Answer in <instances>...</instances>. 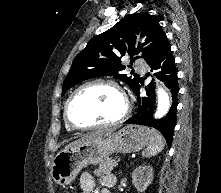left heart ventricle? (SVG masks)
<instances>
[{"mask_svg":"<svg viewBox=\"0 0 221 193\" xmlns=\"http://www.w3.org/2000/svg\"><path fill=\"white\" fill-rule=\"evenodd\" d=\"M123 109V99L114 88L92 85L75 96L70 106V116L77 124L89 126L113 121L122 114Z\"/></svg>","mask_w":221,"mask_h":193,"instance_id":"1","label":"left heart ventricle"}]
</instances>
